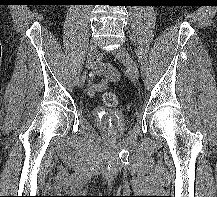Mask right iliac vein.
Segmentation results:
<instances>
[{
    "label": "right iliac vein",
    "mask_w": 217,
    "mask_h": 197,
    "mask_svg": "<svg viewBox=\"0 0 217 197\" xmlns=\"http://www.w3.org/2000/svg\"><path fill=\"white\" fill-rule=\"evenodd\" d=\"M98 48L95 41H91L89 48H88V54H87V61H86V69L84 73L80 76L78 79L77 85L78 87H83L86 81V74L88 70L92 67L95 58L97 57Z\"/></svg>",
    "instance_id": "1"
}]
</instances>
